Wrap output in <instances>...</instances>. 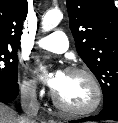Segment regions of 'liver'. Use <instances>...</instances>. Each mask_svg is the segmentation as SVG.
<instances>
[{
    "label": "liver",
    "mask_w": 118,
    "mask_h": 123,
    "mask_svg": "<svg viewBox=\"0 0 118 123\" xmlns=\"http://www.w3.org/2000/svg\"><path fill=\"white\" fill-rule=\"evenodd\" d=\"M17 113L5 104L0 103V123H18Z\"/></svg>",
    "instance_id": "obj_1"
}]
</instances>
